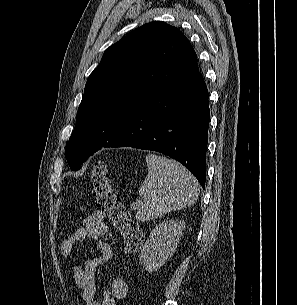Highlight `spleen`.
Returning <instances> with one entry per match:
<instances>
[{"mask_svg":"<svg viewBox=\"0 0 297 305\" xmlns=\"http://www.w3.org/2000/svg\"><path fill=\"white\" fill-rule=\"evenodd\" d=\"M148 174L139 188L143 202L136 219L148 221L192 205L199 196L197 179L180 163L163 156H146Z\"/></svg>","mask_w":297,"mask_h":305,"instance_id":"spleen-1","label":"spleen"}]
</instances>
